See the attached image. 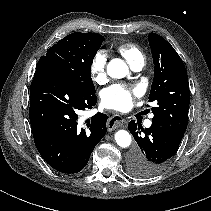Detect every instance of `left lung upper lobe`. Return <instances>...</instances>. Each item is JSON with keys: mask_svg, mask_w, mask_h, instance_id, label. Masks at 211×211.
Listing matches in <instances>:
<instances>
[{"mask_svg": "<svg viewBox=\"0 0 211 211\" xmlns=\"http://www.w3.org/2000/svg\"><path fill=\"white\" fill-rule=\"evenodd\" d=\"M154 62V78L149 101L154 114L152 124L182 139L188 124L190 92L185 66L175 49L163 37L149 33Z\"/></svg>", "mask_w": 211, "mask_h": 211, "instance_id": "1", "label": "left lung upper lobe"}]
</instances>
